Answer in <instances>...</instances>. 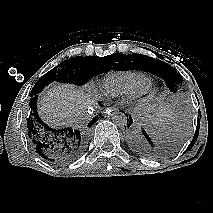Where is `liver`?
<instances>
[{
    "label": "liver",
    "mask_w": 213,
    "mask_h": 213,
    "mask_svg": "<svg viewBox=\"0 0 213 213\" xmlns=\"http://www.w3.org/2000/svg\"><path fill=\"white\" fill-rule=\"evenodd\" d=\"M92 101L75 86L55 84L44 92L39 109L50 125H72L79 121Z\"/></svg>",
    "instance_id": "obj_1"
}]
</instances>
